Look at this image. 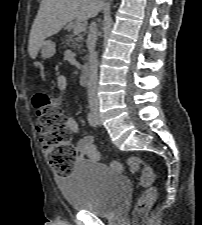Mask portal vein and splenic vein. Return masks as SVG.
Listing matches in <instances>:
<instances>
[{
  "label": "portal vein and splenic vein",
  "instance_id": "18ae733b",
  "mask_svg": "<svg viewBox=\"0 0 202 225\" xmlns=\"http://www.w3.org/2000/svg\"><path fill=\"white\" fill-rule=\"evenodd\" d=\"M85 30V25L83 23H76L73 28V33L75 35L83 32Z\"/></svg>",
  "mask_w": 202,
  "mask_h": 225
}]
</instances>
